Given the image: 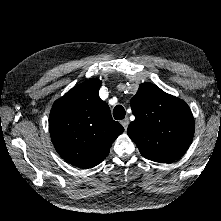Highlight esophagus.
Returning <instances> with one entry per match:
<instances>
[{"mask_svg":"<svg viewBox=\"0 0 221 221\" xmlns=\"http://www.w3.org/2000/svg\"><path fill=\"white\" fill-rule=\"evenodd\" d=\"M121 124L124 127V129L126 130L129 125V119L125 118L124 120L121 121Z\"/></svg>","mask_w":221,"mask_h":221,"instance_id":"34e87169","label":"esophagus"}]
</instances>
